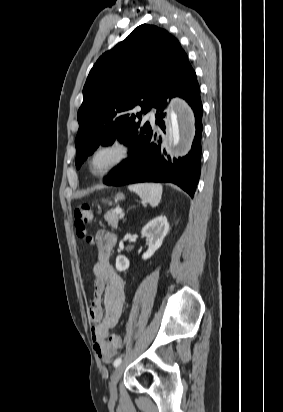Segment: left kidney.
<instances>
[{
    "label": "left kidney",
    "mask_w": 283,
    "mask_h": 412,
    "mask_svg": "<svg viewBox=\"0 0 283 412\" xmlns=\"http://www.w3.org/2000/svg\"><path fill=\"white\" fill-rule=\"evenodd\" d=\"M168 231L169 223L167 218L162 215L151 220L142 228V236L146 237L148 243V250L142 255V259L147 260L153 256L161 247ZM115 266L118 271H125L129 268L130 262L125 256L119 255L116 258Z\"/></svg>",
    "instance_id": "obj_1"
}]
</instances>
